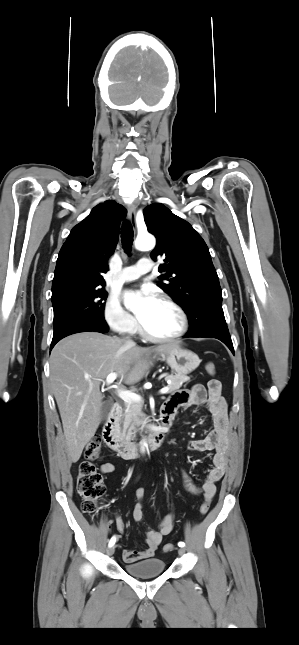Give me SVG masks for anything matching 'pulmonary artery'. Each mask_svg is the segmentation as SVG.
Instances as JSON below:
<instances>
[{
    "label": "pulmonary artery",
    "mask_w": 299,
    "mask_h": 645,
    "mask_svg": "<svg viewBox=\"0 0 299 645\" xmlns=\"http://www.w3.org/2000/svg\"><path fill=\"white\" fill-rule=\"evenodd\" d=\"M153 263L147 258L140 259L136 265L125 267L119 275L121 282H131L138 279L143 274L150 272Z\"/></svg>",
    "instance_id": "e3ab8cb5"
}]
</instances>
